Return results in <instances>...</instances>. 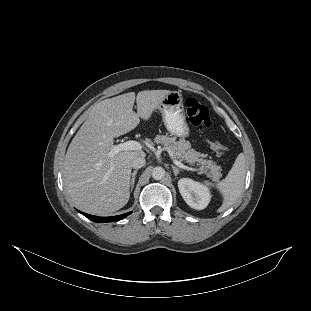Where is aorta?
<instances>
[{
	"instance_id": "aorta-1",
	"label": "aorta",
	"mask_w": 311,
	"mask_h": 311,
	"mask_svg": "<svg viewBox=\"0 0 311 311\" xmlns=\"http://www.w3.org/2000/svg\"><path fill=\"white\" fill-rule=\"evenodd\" d=\"M165 170L163 167L157 166L152 170V178L154 180H161L165 177Z\"/></svg>"
}]
</instances>
